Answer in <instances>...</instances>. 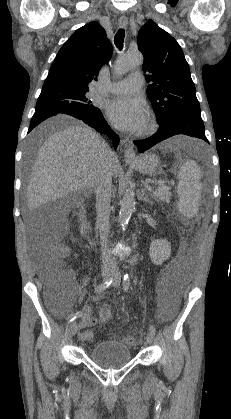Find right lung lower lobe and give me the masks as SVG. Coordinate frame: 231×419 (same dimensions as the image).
Returning <instances> with one entry per match:
<instances>
[{
  "instance_id": "right-lung-lower-lobe-1",
  "label": "right lung lower lobe",
  "mask_w": 231,
  "mask_h": 419,
  "mask_svg": "<svg viewBox=\"0 0 231 419\" xmlns=\"http://www.w3.org/2000/svg\"><path fill=\"white\" fill-rule=\"evenodd\" d=\"M56 115H65L64 113H58V112H51L48 110H38L34 113L31 123H30V127L28 130V133L35 127L37 126L40 122H42L43 120L52 117V116H56ZM79 120H82L83 122H85L86 124L90 125L91 127L95 128L97 131L102 132V133H107L114 141V147H117L118 142H119V138L117 135H115L110 127L107 125V122L105 121L103 115L101 114V111L98 113H95L91 116L88 117H84V116H73Z\"/></svg>"
}]
</instances>
